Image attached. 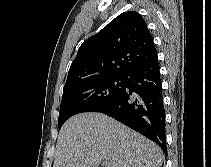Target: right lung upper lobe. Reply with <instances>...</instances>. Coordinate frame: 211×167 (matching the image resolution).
Wrapping results in <instances>:
<instances>
[{"instance_id":"right-lung-upper-lobe-1","label":"right lung upper lobe","mask_w":211,"mask_h":167,"mask_svg":"<svg viewBox=\"0 0 211 167\" xmlns=\"http://www.w3.org/2000/svg\"><path fill=\"white\" fill-rule=\"evenodd\" d=\"M157 56L153 38L141 15L124 12L79 47L65 88L106 76H125Z\"/></svg>"}]
</instances>
